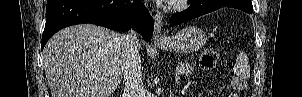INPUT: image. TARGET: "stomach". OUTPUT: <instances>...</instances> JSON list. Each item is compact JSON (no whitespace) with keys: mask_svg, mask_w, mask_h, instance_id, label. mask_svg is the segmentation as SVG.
Instances as JSON below:
<instances>
[{"mask_svg":"<svg viewBox=\"0 0 302 97\" xmlns=\"http://www.w3.org/2000/svg\"><path fill=\"white\" fill-rule=\"evenodd\" d=\"M206 40V34L203 30L191 26L180 30L165 42L158 43L157 46L164 51L192 53L201 49Z\"/></svg>","mask_w":302,"mask_h":97,"instance_id":"stomach-1","label":"stomach"}]
</instances>
